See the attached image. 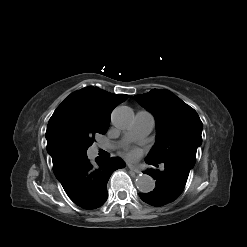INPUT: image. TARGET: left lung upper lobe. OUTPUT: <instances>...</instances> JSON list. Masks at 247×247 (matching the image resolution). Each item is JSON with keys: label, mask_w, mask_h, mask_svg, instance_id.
I'll return each instance as SVG.
<instances>
[{"label": "left lung upper lobe", "mask_w": 247, "mask_h": 247, "mask_svg": "<svg viewBox=\"0 0 247 247\" xmlns=\"http://www.w3.org/2000/svg\"><path fill=\"white\" fill-rule=\"evenodd\" d=\"M135 99L156 119L157 140L146 159L176 162L191 169L202 143L203 124L196 111L168 90L152 89Z\"/></svg>", "instance_id": "5c2ea615"}]
</instances>
